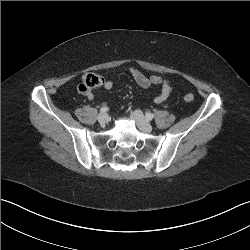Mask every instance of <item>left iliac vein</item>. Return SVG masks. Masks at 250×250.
<instances>
[{
	"label": "left iliac vein",
	"mask_w": 250,
	"mask_h": 250,
	"mask_svg": "<svg viewBox=\"0 0 250 250\" xmlns=\"http://www.w3.org/2000/svg\"><path fill=\"white\" fill-rule=\"evenodd\" d=\"M131 118L137 123V126L143 132H151L153 127L150 122L145 118L140 110H135L131 113Z\"/></svg>",
	"instance_id": "obj_1"
}]
</instances>
